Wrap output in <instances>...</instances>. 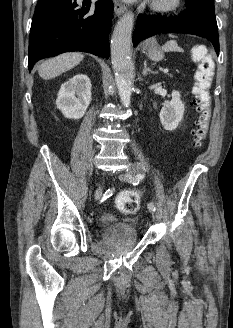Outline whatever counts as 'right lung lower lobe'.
Returning a JSON list of instances; mask_svg holds the SVG:
<instances>
[{"label":"right lung lower lobe","instance_id":"right-lung-lower-lobe-1","mask_svg":"<svg viewBox=\"0 0 233 328\" xmlns=\"http://www.w3.org/2000/svg\"><path fill=\"white\" fill-rule=\"evenodd\" d=\"M111 0H38L29 39L28 67L63 52L109 56Z\"/></svg>","mask_w":233,"mask_h":328}]
</instances>
